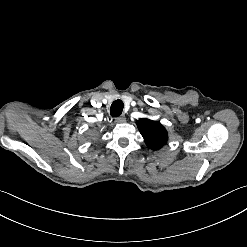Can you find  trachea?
<instances>
[{
  "label": "trachea",
  "instance_id": "3493384b",
  "mask_svg": "<svg viewBox=\"0 0 247 247\" xmlns=\"http://www.w3.org/2000/svg\"><path fill=\"white\" fill-rule=\"evenodd\" d=\"M124 104L121 100H115L110 109V114L112 117H119L123 111Z\"/></svg>",
  "mask_w": 247,
  "mask_h": 247
}]
</instances>
